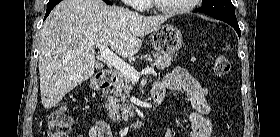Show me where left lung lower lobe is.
<instances>
[{"label":"left lung lower lobe","mask_w":280,"mask_h":137,"mask_svg":"<svg viewBox=\"0 0 280 137\" xmlns=\"http://www.w3.org/2000/svg\"><path fill=\"white\" fill-rule=\"evenodd\" d=\"M219 20H222V21L228 23L229 25H231L236 30L238 36L240 37L241 31H240V28H239V25H238L237 21H230V20H225V19H219Z\"/></svg>","instance_id":"obj_1"}]
</instances>
